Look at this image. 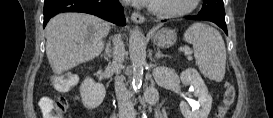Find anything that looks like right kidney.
<instances>
[{
	"label": "right kidney",
	"instance_id": "ca27d5eb",
	"mask_svg": "<svg viewBox=\"0 0 273 118\" xmlns=\"http://www.w3.org/2000/svg\"><path fill=\"white\" fill-rule=\"evenodd\" d=\"M106 91L102 84L94 82L90 77L85 78L80 86L83 105L88 109L98 107L104 100Z\"/></svg>",
	"mask_w": 273,
	"mask_h": 118
}]
</instances>
